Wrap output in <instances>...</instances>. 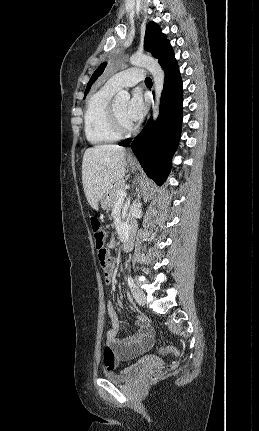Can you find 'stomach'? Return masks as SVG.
I'll list each match as a JSON object with an SVG mask.
<instances>
[{"instance_id":"obj_1","label":"stomach","mask_w":259,"mask_h":431,"mask_svg":"<svg viewBox=\"0 0 259 431\" xmlns=\"http://www.w3.org/2000/svg\"><path fill=\"white\" fill-rule=\"evenodd\" d=\"M130 166L132 169H136V165L133 162H130ZM100 205L102 209L108 210L111 207L109 200V191L100 199Z\"/></svg>"}]
</instances>
